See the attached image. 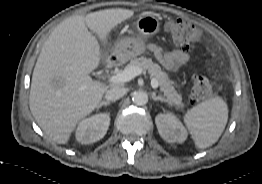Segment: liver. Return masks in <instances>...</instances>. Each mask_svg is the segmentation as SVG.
Masks as SVG:
<instances>
[{"instance_id": "1", "label": "liver", "mask_w": 262, "mask_h": 184, "mask_svg": "<svg viewBox=\"0 0 262 184\" xmlns=\"http://www.w3.org/2000/svg\"><path fill=\"white\" fill-rule=\"evenodd\" d=\"M133 15L118 8L71 16L45 41L34 67L29 105L54 142L66 144L78 122L100 104L108 86L89 76L100 64L98 40L107 45L111 31Z\"/></svg>"}]
</instances>
